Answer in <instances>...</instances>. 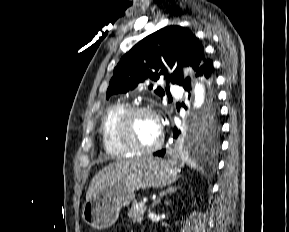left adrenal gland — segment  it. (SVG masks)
<instances>
[{
  "instance_id": "a2214340",
  "label": "left adrenal gland",
  "mask_w": 289,
  "mask_h": 232,
  "mask_svg": "<svg viewBox=\"0 0 289 232\" xmlns=\"http://www.w3.org/2000/svg\"><path fill=\"white\" fill-rule=\"evenodd\" d=\"M180 187H169L166 191H162L160 193V196L157 200L154 201V203L152 204V206L156 205L157 203L160 202L161 198L164 197L165 195H167L168 193L172 194L174 192L177 191V189H179Z\"/></svg>"
}]
</instances>
